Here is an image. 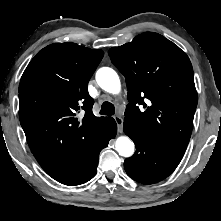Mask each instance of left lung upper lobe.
Masks as SVG:
<instances>
[{"label":"left lung upper lobe","mask_w":221,"mask_h":221,"mask_svg":"<svg viewBox=\"0 0 221 221\" xmlns=\"http://www.w3.org/2000/svg\"><path fill=\"white\" fill-rule=\"evenodd\" d=\"M108 54L126 78L129 104L124 121L137 124L158 141L186 148L197 106L186 53L162 35L146 32Z\"/></svg>","instance_id":"left-lung-upper-lobe-1"}]
</instances>
